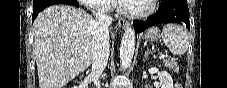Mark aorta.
Listing matches in <instances>:
<instances>
[{
  "instance_id": "1",
  "label": "aorta",
  "mask_w": 227,
  "mask_h": 88,
  "mask_svg": "<svg viewBox=\"0 0 227 88\" xmlns=\"http://www.w3.org/2000/svg\"><path fill=\"white\" fill-rule=\"evenodd\" d=\"M135 50V32L131 27L128 28L122 38L120 46L121 66L126 69L130 66Z\"/></svg>"
}]
</instances>
